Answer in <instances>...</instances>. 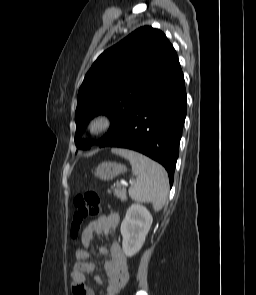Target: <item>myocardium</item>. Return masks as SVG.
<instances>
[{"label": "myocardium", "instance_id": "1", "mask_svg": "<svg viewBox=\"0 0 256 295\" xmlns=\"http://www.w3.org/2000/svg\"><path fill=\"white\" fill-rule=\"evenodd\" d=\"M111 126L110 118L103 113L92 116L86 126L87 132L91 135H100L106 132Z\"/></svg>", "mask_w": 256, "mask_h": 295}]
</instances>
